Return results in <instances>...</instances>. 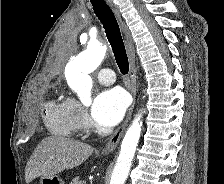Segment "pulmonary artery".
<instances>
[{
    "mask_svg": "<svg viewBox=\"0 0 224 184\" xmlns=\"http://www.w3.org/2000/svg\"><path fill=\"white\" fill-rule=\"evenodd\" d=\"M98 81L103 85H110L115 82V74L110 69H101L97 73Z\"/></svg>",
    "mask_w": 224,
    "mask_h": 184,
    "instance_id": "pulmonary-artery-1",
    "label": "pulmonary artery"
}]
</instances>
